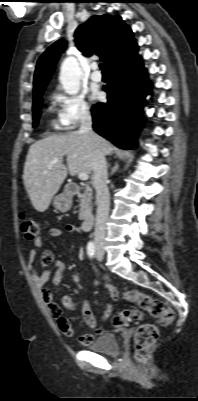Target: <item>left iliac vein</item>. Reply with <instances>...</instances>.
Wrapping results in <instances>:
<instances>
[{"label":"left iliac vein","instance_id":"left-iliac-vein-1","mask_svg":"<svg viewBox=\"0 0 198 401\" xmlns=\"http://www.w3.org/2000/svg\"><path fill=\"white\" fill-rule=\"evenodd\" d=\"M96 259L98 261H101L103 259V254L98 251L97 254H96Z\"/></svg>","mask_w":198,"mask_h":401}]
</instances>
